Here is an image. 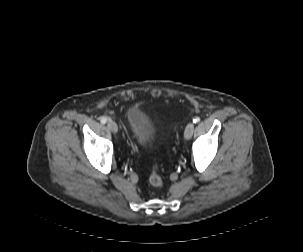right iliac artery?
Listing matches in <instances>:
<instances>
[{
	"label": "right iliac artery",
	"instance_id": "right-iliac-artery-1",
	"mask_svg": "<svg viewBox=\"0 0 303 252\" xmlns=\"http://www.w3.org/2000/svg\"><path fill=\"white\" fill-rule=\"evenodd\" d=\"M100 122H101V124H105V123L107 122V118L102 117V118L100 119Z\"/></svg>",
	"mask_w": 303,
	"mask_h": 252
}]
</instances>
